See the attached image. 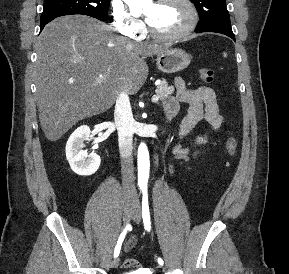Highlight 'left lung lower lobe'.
<instances>
[{
	"label": "left lung lower lobe",
	"instance_id": "left-lung-lower-lobe-1",
	"mask_svg": "<svg viewBox=\"0 0 289 274\" xmlns=\"http://www.w3.org/2000/svg\"><path fill=\"white\" fill-rule=\"evenodd\" d=\"M222 34L227 35L228 37L232 38V39L235 41V36H234L233 33H227V32H225V33H222Z\"/></svg>",
	"mask_w": 289,
	"mask_h": 274
}]
</instances>
